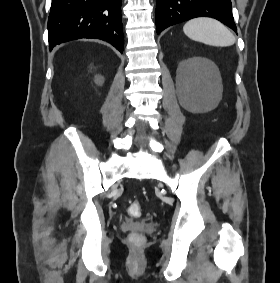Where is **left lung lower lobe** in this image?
Listing matches in <instances>:
<instances>
[{
  "label": "left lung lower lobe",
  "mask_w": 280,
  "mask_h": 283,
  "mask_svg": "<svg viewBox=\"0 0 280 283\" xmlns=\"http://www.w3.org/2000/svg\"><path fill=\"white\" fill-rule=\"evenodd\" d=\"M201 16L215 18L237 32L231 0H157V34L169 26Z\"/></svg>",
  "instance_id": "obj_1"
}]
</instances>
